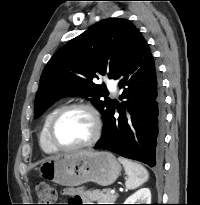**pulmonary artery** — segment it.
Segmentation results:
<instances>
[{
	"label": "pulmonary artery",
	"mask_w": 200,
	"mask_h": 205,
	"mask_svg": "<svg viewBox=\"0 0 200 205\" xmlns=\"http://www.w3.org/2000/svg\"><path fill=\"white\" fill-rule=\"evenodd\" d=\"M107 86L111 92L116 93L117 84L114 80L107 81Z\"/></svg>",
	"instance_id": "pulmonary-artery-1"
}]
</instances>
